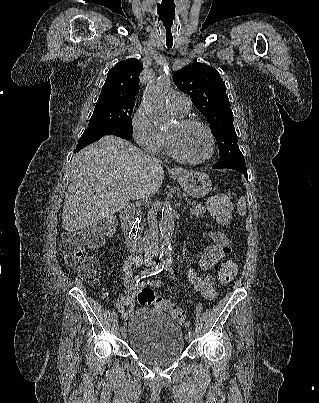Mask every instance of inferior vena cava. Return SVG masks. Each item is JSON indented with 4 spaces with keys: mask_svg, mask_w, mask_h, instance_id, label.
<instances>
[{
    "mask_svg": "<svg viewBox=\"0 0 319 403\" xmlns=\"http://www.w3.org/2000/svg\"><path fill=\"white\" fill-rule=\"evenodd\" d=\"M153 161L156 162V159L152 156H149ZM155 194L154 189H143L139 191V197L143 199H148L150 196ZM147 207L149 208L150 204L148 202ZM148 225H149V232L146 236V245L148 250L158 251V233H157V224L154 211L150 209L148 211Z\"/></svg>",
    "mask_w": 319,
    "mask_h": 403,
    "instance_id": "602c4592",
    "label": "inferior vena cava"
}]
</instances>
